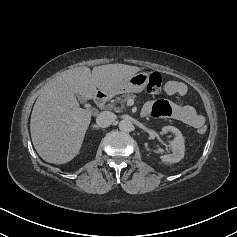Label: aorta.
<instances>
[{"label": "aorta", "mask_w": 237, "mask_h": 237, "mask_svg": "<svg viewBox=\"0 0 237 237\" xmlns=\"http://www.w3.org/2000/svg\"><path fill=\"white\" fill-rule=\"evenodd\" d=\"M119 129L122 132H130L133 129V124L129 119H123L119 122Z\"/></svg>", "instance_id": "1"}]
</instances>
